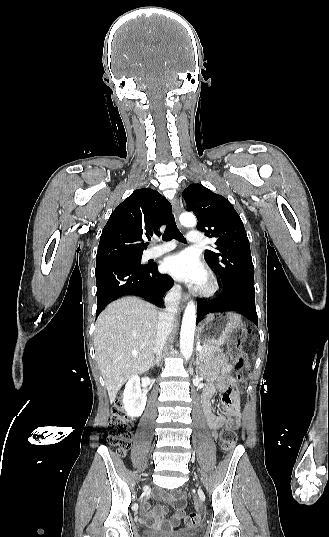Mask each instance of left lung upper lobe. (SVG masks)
<instances>
[{
	"instance_id": "5c2ea615",
	"label": "left lung upper lobe",
	"mask_w": 329,
	"mask_h": 537,
	"mask_svg": "<svg viewBox=\"0 0 329 537\" xmlns=\"http://www.w3.org/2000/svg\"><path fill=\"white\" fill-rule=\"evenodd\" d=\"M187 210L197 217V229L217 239L214 250L204 258L222 281L223 287L254 285V266L249 240L240 216L223 196L201 184H191L182 193Z\"/></svg>"
}]
</instances>
